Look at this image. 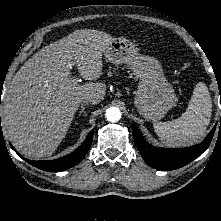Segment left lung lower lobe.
Instances as JSON below:
<instances>
[{"label":"left lung lower lobe","mask_w":221,"mask_h":221,"mask_svg":"<svg viewBox=\"0 0 221 221\" xmlns=\"http://www.w3.org/2000/svg\"><path fill=\"white\" fill-rule=\"evenodd\" d=\"M221 125V118H220ZM221 127V126H220ZM216 126L207 135L205 140L195 146L184 149L156 148L149 144L135 125H132L134 141L142 158L150 166L162 170H174L187 165L199 157L209 146Z\"/></svg>","instance_id":"left-lung-lower-lobe-1"}]
</instances>
